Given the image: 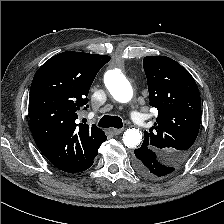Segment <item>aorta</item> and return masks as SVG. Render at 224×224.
Masks as SVG:
<instances>
[{"mask_svg": "<svg viewBox=\"0 0 224 224\" xmlns=\"http://www.w3.org/2000/svg\"><path fill=\"white\" fill-rule=\"evenodd\" d=\"M104 83L113 98L120 103H127L133 97V89L127 78L119 69L106 72ZM142 141V133L139 129H127L123 134V143L128 148L138 146Z\"/></svg>", "mask_w": 224, "mask_h": 224, "instance_id": "1", "label": "aorta"}]
</instances>
